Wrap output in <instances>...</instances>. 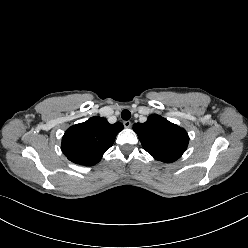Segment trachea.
<instances>
[{
    "label": "trachea",
    "instance_id": "trachea-1",
    "mask_svg": "<svg viewBox=\"0 0 248 248\" xmlns=\"http://www.w3.org/2000/svg\"><path fill=\"white\" fill-rule=\"evenodd\" d=\"M121 117L123 120H129L131 118V112L125 109L121 112Z\"/></svg>",
    "mask_w": 248,
    "mask_h": 248
}]
</instances>
